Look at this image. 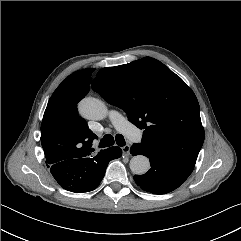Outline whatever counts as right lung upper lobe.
<instances>
[{"label": "right lung upper lobe", "mask_w": 241, "mask_h": 241, "mask_svg": "<svg viewBox=\"0 0 241 241\" xmlns=\"http://www.w3.org/2000/svg\"><path fill=\"white\" fill-rule=\"evenodd\" d=\"M92 71L87 68L68 76L48 102L41 124V143L47 162L87 157L94 151L92 142L97 136L77 110V103L90 89Z\"/></svg>", "instance_id": "right-lung-upper-lobe-1"}]
</instances>
